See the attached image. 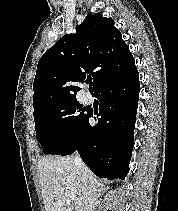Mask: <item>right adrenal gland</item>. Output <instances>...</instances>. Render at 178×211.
<instances>
[{
    "label": "right adrenal gland",
    "instance_id": "obj_1",
    "mask_svg": "<svg viewBox=\"0 0 178 211\" xmlns=\"http://www.w3.org/2000/svg\"><path fill=\"white\" fill-rule=\"evenodd\" d=\"M98 190H97V198H99L101 196V193L105 190H108L109 187H105L102 183H98L97 184Z\"/></svg>",
    "mask_w": 178,
    "mask_h": 211
}]
</instances>
